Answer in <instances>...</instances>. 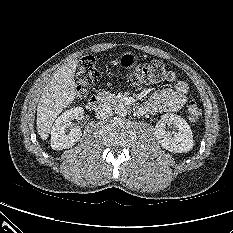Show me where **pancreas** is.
I'll return each mask as SVG.
<instances>
[{"instance_id":"pancreas-1","label":"pancreas","mask_w":233,"mask_h":233,"mask_svg":"<svg viewBox=\"0 0 233 233\" xmlns=\"http://www.w3.org/2000/svg\"><path fill=\"white\" fill-rule=\"evenodd\" d=\"M98 96L103 101H112V100L116 99V95L115 94H112V93L106 92V91L100 92L98 94Z\"/></svg>"}]
</instances>
